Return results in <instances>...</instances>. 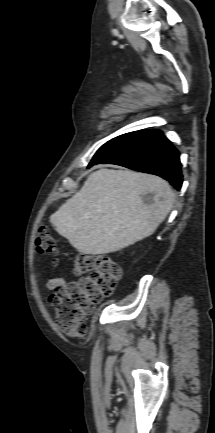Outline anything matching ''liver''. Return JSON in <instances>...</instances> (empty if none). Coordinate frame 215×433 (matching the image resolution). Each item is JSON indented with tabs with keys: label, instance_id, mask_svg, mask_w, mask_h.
Returning a JSON list of instances; mask_svg holds the SVG:
<instances>
[{
	"label": "liver",
	"instance_id": "liver-1",
	"mask_svg": "<svg viewBox=\"0 0 215 433\" xmlns=\"http://www.w3.org/2000/svg\"><path fill=\"white\" fill-rule=\"evenodd\" d=\"M152 194L150 203L143 195ZM164 179L130 170L100 169L50 217L82 254L119 251L152 235L174 203Z\"/></svg>",
	"mask_w": 215,
	"mask_h": 433
}]
</instances>
